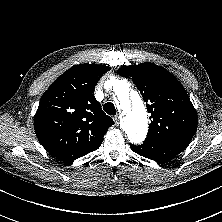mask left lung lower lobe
I'll use <instances>...</instances> for the list:
<instances>
[{"label":"left lung lower lobe","instance_id":"1","mask_svg":"<svg viewBox=\"0 0 222 222\" xmlns=\"http://www.w3.org/2000/svg\"><path fill=\"white\" fill-rule=\"evenodd\" d=\"M187 143L176 141H147L142 145L130 144L132 151L135 153L154 160L158 163H164L181 153L186 147Z\"/></svg>","mask_w":222,"mask_h":222}]
</instances>
